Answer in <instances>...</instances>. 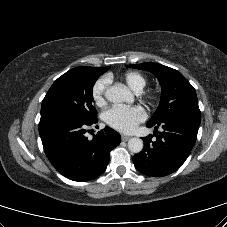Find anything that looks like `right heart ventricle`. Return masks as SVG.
I'll return each instance as SVG.
<instances>
[{"label":"right heart ventricle","instance_id":"1","mask_svg":"<svg viewBox=\"0 0 227 227\" xmlns=\"http://www.w3.org/2000/svg\"><path fill=\"white\" fill-rule=\"evenodd\" d=\"M127 85L136 92H140L147 84L146 78L139 72L128 71L124 74Z\"/></svg>","mask_w":227,"mask_h":227}]
</instances>
